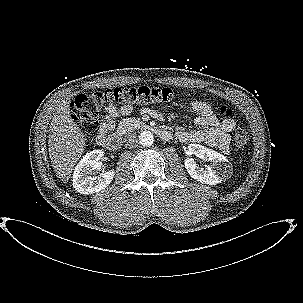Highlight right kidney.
<instances>
[{
    "label": "right kidney",
    "mask_w": 303,
    "mask_h": 303,
    "mask_svg": "<svg viewBox=\"0 0 303 303\" xmlns=\"http://www.w3.org/2000/svg\"><path fill=\"white\" fill-rule=\"evenodd\" d=\"M102 150H93L83 156L74 169L73 187L81 194H93L105 189L114 178V170L103 171L98 177H91L89 173L99 167L103 157Z\"/></svg>",
    "instance_id": "1"
}]
</instances>
